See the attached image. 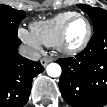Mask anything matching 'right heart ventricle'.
Instances as JSON below:
<instances>
[{
    "label": "right heart ventricle",
    "instance_id": "1",
    "mask_svg": "<svg viewBox=\"0 0 107 107\" xmlns=\"http://www.w3.org/2000/svg\"><path fill=\"white\" fill-rule=\"evenodd\" d=\"M75 14L76 12L67 11L47 20L33 22L30 26L31 34L40 44L54 46L65 23Z\"/></svg>",
    "mask_w": 107,
    "mask_h": 107
}]
</instances>
